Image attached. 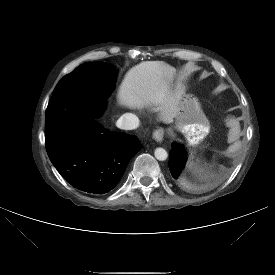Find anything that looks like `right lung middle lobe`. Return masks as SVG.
I'll return each instance as SVG.
<instances>
[{"label": "right lung middle lobe", "mask_w": 275, "mask_h": 275, "mask_svg": "<svg viewBox=\"0 0 275 275\" xmlns=\"http://www.w3.org/2000/svg\"><path fill=\"white\" fill-rule=\"evenodd\" d=\"M115 78V71L103 63H87L64 76L56 85L46 109L45 129L78 117H98L104 107L102 88Z\"/></svg>", "instance_id": "dd1d6c3e"}]
</instances>
